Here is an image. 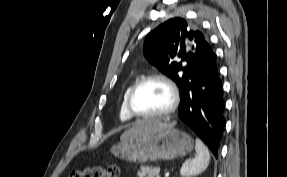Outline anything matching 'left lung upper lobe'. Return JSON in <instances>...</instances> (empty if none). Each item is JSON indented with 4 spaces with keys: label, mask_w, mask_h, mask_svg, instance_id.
<instances>
[{
    "label": "left lung upper lobe",
    "mask_w": 287,
    "mask_h": 177,
    "mask_svg": "<svg viewBox=\"0 0 287 177\" xmlns=\"http://www.w3.org/2000/svg\"><path fill=\"white\" fill-rule=\"evenodd\" d=\"M143 51L152 65L177 84L180 92L212 53L203 34L178 17L167 20L149 32ZM179 58L186 63L179 61ZM180 71L183 73L180 74Z\"/></svg>",
    "instance_id": "left-lung-upper-lobe-1"
}]
</instances>
